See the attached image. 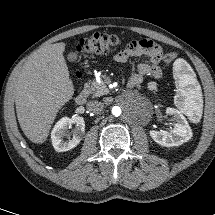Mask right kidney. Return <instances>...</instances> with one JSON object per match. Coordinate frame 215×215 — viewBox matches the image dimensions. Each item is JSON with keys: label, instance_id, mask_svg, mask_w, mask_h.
Returning <instances> with one entry per match:
<instances>
[{"label": "right kidney", "instance_id": "1", "mask_svg": "<svg viewBox=\"0 0 215 215\" xmlns=\"http://www.w3.org/2000/svg\"><path fill=\"white\" fill-rule=\"evenodd\" d=\"M71 124H76V127L72 130V134L68 136V139L65 140L64 137L68 135L67 130ZM84 132L85 122L82 117H63L55 124L51 132L53 147L58 152L68 151L79 144Z\"/></svg>", "mask_w": 215, "mask_h": 215}]
</instances>
